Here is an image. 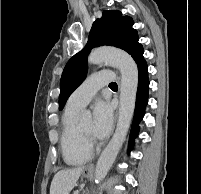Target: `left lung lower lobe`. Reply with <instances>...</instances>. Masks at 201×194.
Here are the masks:
<instances>
[{
  "instance_id": "0a47b994",
  "label": "left lung lower lobe",
  "mask_w": 201,
  "mask_h": 194,
  "mask_svg": "<svg viewBox=\"0 0 201 194\" xmlns=\"http://www.w3.org/2000/svg\"><path fill=\"white\" fill-rule=\"evenodd\" d=\"M143 46L137 44L132 53L130 54L133 59L136 61L139 72V83L137 89V100L135 106L134 120L132 124V129L130 133V144H133L134 138L137 136L139 131V122L142 120L145 107L147 105L148 98V89H149V80H148V66L146 60L143 57Z\"/></svg>"
}]
</instances>
